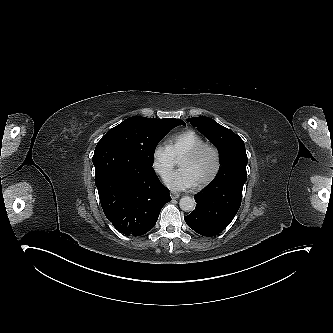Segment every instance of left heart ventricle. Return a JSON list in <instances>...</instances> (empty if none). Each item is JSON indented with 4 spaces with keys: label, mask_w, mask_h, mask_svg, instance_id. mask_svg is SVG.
I'll list each match as a JSON object with an SVG mask.
<instances>
[{
    "label": "left heart ventricle",
    "mask_w": 333,
    "mask_h": 333,
    "mask_svg": "<svg viewBox=\"0 0 333 333\" xmlns=\"http://www.w3.org/2000/svg\"><path fill=\"white\" fill-rule=\"evenodd\" d=\"M213 166V155L210 151H203L196 159L187 162L183 168L188 171L194 181L207 176Z\"/></svg>",
    "instance_id": "1"
}]
</instances>
